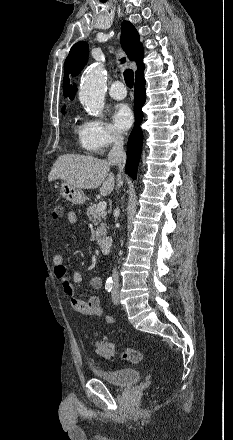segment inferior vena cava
Returning <instances> with one entry per match:
<instances>
[{
	"instance_id": "inferior-vena-cava-1",
	"label": "inferior vena cava",
	"mask_w": 233,
	"mask_h": 440,
	"mask_svg": "<svg viewBox=\"0 0 233 440\" xmlns=\"http://www.w3.org/2000/svg\"><path fill=\"white\" fill-rule=\"evenodd\" d=\"M113 147L108 154V162L110 164L117 165L120 172L124 169L126 162V153L123 148V136L119 133H114L113 138ZM118 187L122 185L121 176H118ZM119 216V209L115 210V219ZM113 284L115 286L119 285V276L116 269L113 270Z\"/></svg>"
}]
</instances>
